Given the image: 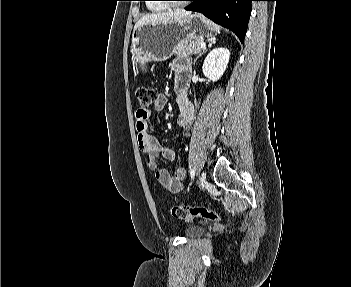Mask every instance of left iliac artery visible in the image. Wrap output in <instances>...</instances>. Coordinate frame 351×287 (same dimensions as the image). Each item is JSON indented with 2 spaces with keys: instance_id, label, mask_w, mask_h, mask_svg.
I'll return each instance as SVG.
<instances>
[{
  "instance_id": "44dca946",
  "label": "left iliac artery",
  "mask_w": 351,
  "mask_h": 287,
  "mask_svg": "<svg viewBox=\"0 0 351 287\" xmlns=\"http://www.w3.org/2000/svg\"><path fill=\"white\" fill-rule=\"evenodd\" d=\"M195 172H196L195 168L192 169L191 172H190V176H191L192 179H194Z\"/></svg>"
}]
</instances>
